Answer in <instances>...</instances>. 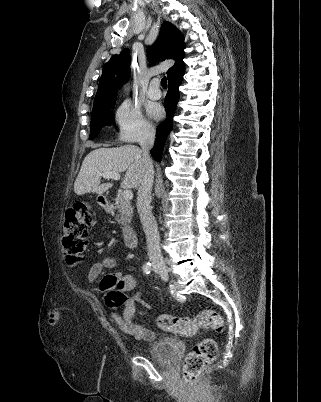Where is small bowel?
Masks as SVG:
<instances>
[{
    "label": "small bowel",
    "instance_id": "1",
    "mask_svg": "<svg viewBox=\"0 0 321 402\" xmlns=\"http://www.w3.org/2000/svg\"><path fill=\"white\" fill-rule=\"evenodd\" d=\"M120 256H112L96 263L89 272V279L97 278L106 268H114L118 265ZM118 288L123 292H132L136 288V280L133 276L112 273L101 281V290L110 291ZM136 312V303L133 300L125 302L123 312L119 314L116 309H110L111 319L117 324L118 328L125 334L137 340L152 341L155 333L152 329L137 324L133 321Z\"/></svg>",
    "mask_w": 321,
    "mask_h": 402
}]
</instances>
